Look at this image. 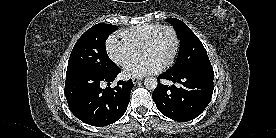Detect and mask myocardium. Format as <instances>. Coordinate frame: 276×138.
I'll return each instance as SVG.
<instances>
[{
  "label": "myocardium",
  "instance_id": "1",
  "mask_svg": "<svg viewBox=\"0 0 276 138\" xmlns=\"http://www.w3.org/2000/svg\"><path fill=\"white\" fill-rule=\"evenodd\" d=\"M165 32L171 33V35L173 37V41H174L173 51H172L170 57L167 59V61L162 65L163 68H168L175 61L177 54L179 52V48H180V38H179V35H178L176 29L173 26H170V25L162 26L160 29L155 31L149 39H147L145 41L142 48L151 46V45H154L155 43H157V41L159 40L161 35Z\"/></svg>",
  "mask_w": 276,
  "mask_h": 138
}]
</instances>
